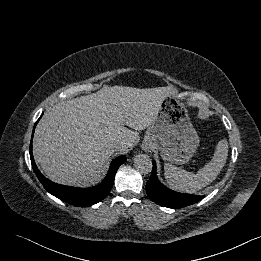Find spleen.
I'll list each match as a JSON object with an SVG mask.
<instances>
[{
	"label": "spleen",
	"instance_id": "obj_1",
	"mask_svg": "<svg viewBox=\"0 0 261 261\" xmlns=\"http://www.w3.org/2000/svg\"><path fill=\"white\" fill-rule=\"evenodd\" d=\"M227 156L228 142L226 139H222L216 145V150L211 161L205 164L196 174L165 163V179L174 189L181 192L193 193L209 185L216 179L226 163Z\"/></svg>",
	"mask_w": 261,
	"mask_h": 261
}]
</instances>
